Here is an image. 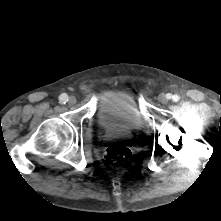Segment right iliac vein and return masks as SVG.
<instances>
[{"label":"right iliac vein","instance_id":"63e3f726","mask_svg":"<svg viewBox=\"0 0 221 221\" xmlns=\"http://www.w3.org/2000/svg\"><path fill=\"white\" fill-rule=\"evenodd\" d=\"M77 102L76 98L74 96H70L68 99V103L70 105H74Z\"/></svg>","mask_w":221,"mask_h":221}]
</instances>
